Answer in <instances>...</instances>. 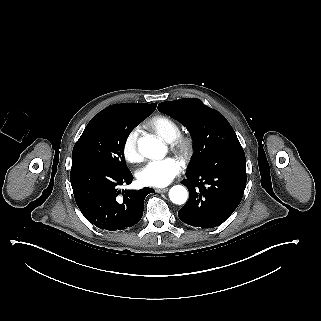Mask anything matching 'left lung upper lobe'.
I'll return each instance as SVG.
<instances>
[{
	"mask_svg": "<svg viewBox=\"0 0 321 321\" xmlns=\"http://www.w3.org/2000/svg\"><path fill=\"white\" fill-rule=\"evenodd\" d=\"M158 110L181 122L191 133L195 155L189 171L201 167L216 153L241 147L225 117L199 99L184 98L162 102L158 105Z\"/></svg>",
	"mask_w": 321,
	"mask_h": 321,
	"instance_id": "5c2ea615",
	"label": "left lung upper lobe"
}]
</instances>
